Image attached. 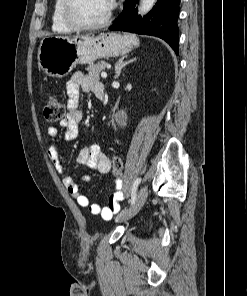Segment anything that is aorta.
Returning a JSON list of instances; mask_svg holds the SVG:
<instances>
[{
	"label": "aorta",
	"mask_w": 247,
	"mask_h": 296,
	"mask_svg": "<svg viewBox=\"0 0 247 296\" xmlns=\"http://www.w3.org/2000/svg\"><path fill=\"white\" fill-rule=\"evenodd\" d=\"M155 2L156 0H141L139 14L143 15L149 12L151 8L154 6Z\"/></svg>",
	"instance_id": "762f6f07"
}]
</instances>
